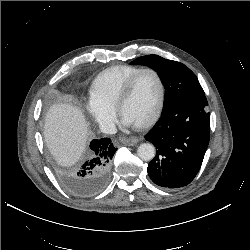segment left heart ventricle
I'll return each instance as SVG.
<instances>
[{
	"label": "left heart ventricle",
	"mask_w": 250,
	"mask_h": 250,
	"mask_svg": "<svg viewBox=\"0 0 250 250\" xmlns=\"http://www.w3.org/2000/svg\"><path fill=\"white\" fill-rule=\"evenodd\" d=\"M158 100V83L150 72L142 73L135 81L130 96L121 109V117L137 126L153 112Z\"/></svg>",
	"instance_id": "1"
}]
</instances>
